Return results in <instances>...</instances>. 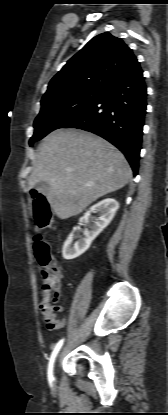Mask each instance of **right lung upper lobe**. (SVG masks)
Masks as SVG:
<instances>
[{"mask_svg":"<svg viewBox=\"0 0 168 415\" xmlns=\"http://www.w3.org/2000/svg\"><path fill=\"white\" fill-rule=\"evenodd\" d=\"M138 64L123 40L108 32L97 35L52 78L41 103L79 90H104Z\"/></svg>","mask_w":168,"mask_h":415,"instance_id":"right-lung-upper-lobe-1","label":"right lung upper lobe"}]
</instances>
